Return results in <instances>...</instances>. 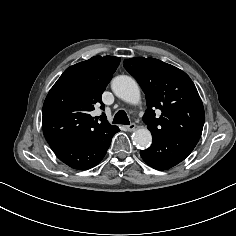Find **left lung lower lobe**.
Instances as JSON below:
<instances>
[{
	"instance_id": "left-lung-lower-lobe-1",
	"label": "left lung lower lobe",
	"mask_w": 236,
	"mask_h": 236,
	"mask_svg": "<svg viewBox=\"0 0 236 236\" xmlns=\"http://www.w3.org/2000/svg\"><path fill=\"white\" fill-rule=\"evenodd\" d=\"M198 141L199 138L188 136L153 138L152 146L140 151V155L149 166L166 170L183 161Z\"/></svg>"
}]
</instances>
